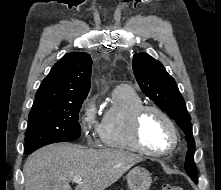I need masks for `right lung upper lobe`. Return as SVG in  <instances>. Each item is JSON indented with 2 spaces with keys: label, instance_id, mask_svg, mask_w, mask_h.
Wrapping results in <instances>:
<instances>
[{
  "label": "right lung upper lobe",
  "instance_id": "right-lung-upper-lobe-1",
  "mask_svg": "<svg viewBox=\"0 0 221 190\" xmlns=\"http://www.w3.org/2000/svg\"><path fill=\"white\" fill-rule=\"evenodd\" d=\"M91 68L87 53L66 54L42 81L33 106L84 101L90 90Z\"/></svg>",
  "mask_w": 221,
  "mask_h": 190
}]
</instances>
